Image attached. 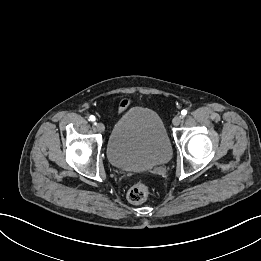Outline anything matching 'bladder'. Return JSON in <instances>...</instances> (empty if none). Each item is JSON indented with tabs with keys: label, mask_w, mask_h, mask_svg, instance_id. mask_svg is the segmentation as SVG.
Listing matches in <instances>:
<instances>
[{
	"label": "bladder",
	"mask_w": 261,
	"mask_h": 261,
	"mask_svg": "<svg viewBox=\"0 0 261 261\" xmlns=\"http://www.w3.org/2000/svg\"><path fill=\"white\" fill-rule=\"evenodd\" d=\"M171 156L165 125L154 110L132 107L114 124L107 143V157L114 167L146 170L165 164Z\"/></svg>",
	"instance_id": "1"
}]
</instances>
